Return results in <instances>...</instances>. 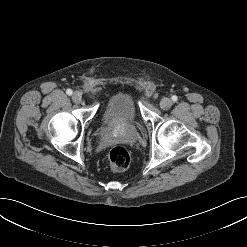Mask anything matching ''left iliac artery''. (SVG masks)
<instances>
[{"mask_svg":"<svg viewBox=\"0 0 247 247\" xmlns=\"http://www.w3.org/2000/svg\"><path fill=\"white\" fill-rule=\"evenodd\" d=\"M172 100L176 102L178 100V97L176 95L172 96Z\"/></svg>","mask_w":247,"mask_h":247,"instance_id":"obj_1","label":"left iliac artery"}]
</instances>
